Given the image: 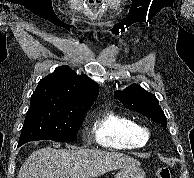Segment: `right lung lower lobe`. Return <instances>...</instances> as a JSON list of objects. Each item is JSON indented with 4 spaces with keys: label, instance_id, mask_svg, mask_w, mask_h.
<instances>
[{
    "label": "right lung lower lobe",
    "instance_id": "right-lung-lower-lobe-1",
    "mask_svg": "<svg viewBox=\"0 0 194 178\" xmlns=\"http://www.w3.org/2000/svg\"><path fill=\"white\" fill-rule=\"evenodd\" d=\"M22 144L18 143V146H21Z\"/></svg>",
    "mask_w": 194,
    "mask_h": 178
}]
</instances>
